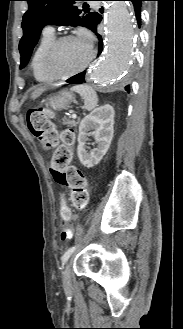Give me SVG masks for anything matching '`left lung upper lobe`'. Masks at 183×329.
<instances>
[{
	"label": "left lung upper lobe",
	"mask_w": 183,
	"mask_h": 329,
	"mask_svg": "<svg viewBox=\"0 0 183 329\" xmlns=\"http://www.w3.org/2000/svg\"><path fill=\"white\" fill-rule=\"evenodd\" d=\"M29 9L23 16V37L19 43L20 69L29 61L32 50L38 42L41 30L48 24L84 26L92 29L95 14L78 9L77 1L87 0H25ZM82 11L87 13L82 14Z\"/></svg>",
	"instance_id": "obj_1"
}]
</instances>
